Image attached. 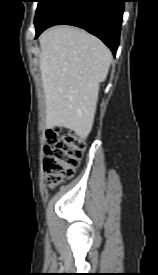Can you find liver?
<instances>
[{
	"instance_id": "obj_1",
	"label": "liver",
	"mask_w": 158,
	"mask_h": 275,
	"mask_svg": "<svg viewBox=\"0 0 158 275\" xmlns=\"http://www.w3.org/2000/svg\"><path fill=\"white\" fill-rule=\"evenodd\" d=\"M46 128L65 127L79 137L91 132L100 83L111 51L95 36L73 27H53L39 38Z\"/></svg>"
}]
</instances>
